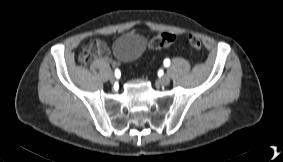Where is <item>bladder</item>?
<instances>
[{
    "mask_svg": "<svg viewBox=\"0 0 283 162\" xmlns=\"http://www.w3.org/2000/svg\"><path fill=\"white\" fill-rule=\"evenodd\" d=\"M145 39L136 33H126L116 39L113 44L114 56L121 61H134L144 52Z\"/></svg>",
    "mask_w": 283,
    "mask_h": 162,
    "instance_id": "1",
    "label": "bladder"
}]
</instances>
